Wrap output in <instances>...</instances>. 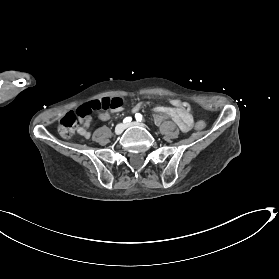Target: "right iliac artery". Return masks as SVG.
<instances>
[{"label": "right iliac artery", "mask_w": 279, "mask_h": 279, "mask_svg": "<svg viewBox=\"0 0 279 279\" xmlns=\"http://www.w3.org/2000/svg\"><path fill=\"white\" fill-rule=\"evenodd\" d=\"M132 118L131 117H126L123 122L124 123H128V122H131Z\"/></svg>", "instance_id": "right-iliac-artery-1"}]
</instances>
